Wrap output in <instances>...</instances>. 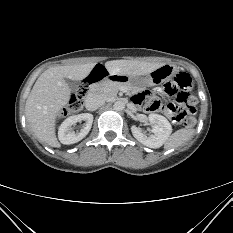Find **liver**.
Masks as SVG:
<instances>
[{
    "label": "liver",
    "instance_id": "liver-1",
    "mask_svg": "<svg viewBox=\"0 0 233 233\" xmlns=\"http://www.w3.org/2000/svg\"><path fill=\"white\" fill-rule=\"evenodd\" d=\"M95 63L55 66L44 71L35 82L25 105L26 119L34 134L52 147H59L56 138V118L67 104L71 89L66 79L80 81L86 78ZM162 63L135 60L107 61L111 75L143 76L161 67Z\"/></svg>",
    "mask_w": 233,
    "mask_h": 233
}]
</instances>
